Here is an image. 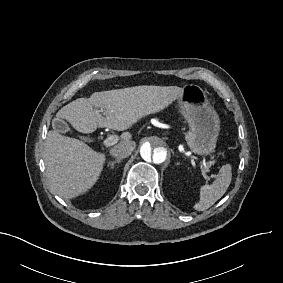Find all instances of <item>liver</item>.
Listing matches in <instances>:
<instances>
[{"instance_id": "6515ba94", "label": "liver", "mask_w": 283, "mask_h": 283, "mask_svg": "<svg viewBox=\"0 0 283 283\" xmlns=\"http://www.w3.org/2000/svg\"><path fill=\"white\" fill-rule=\"evenodd\" d=\"M185 89L177 86H136L95 93L79 98L56 114L83 134L96 131L97 124L121 132L132 128L141 119L170 107L184 97ZM93 104L105 110L106 119L94 113ZM130 132L121 134L119 143L137 144ZM46 176L61 198L75 200L89 192L98 182L106 154L97 152L83 141L67 137L56 130L49 131L44 146Z\"/></svg>"}]
</instances>
